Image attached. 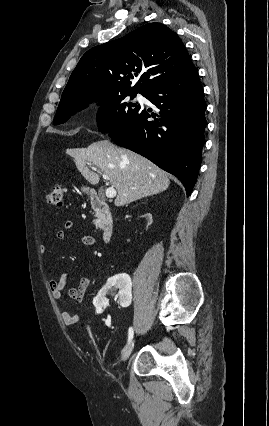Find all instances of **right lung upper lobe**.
I'll return each instance as SVG.
<instances>
[{
  "instance_id": "right-lung-upper-lobe-1",
  "label": "right lung upper lobe",
  "mask_w": 269,
  "mask_h": 426,
  "mask_svg": "<svg viewBox=\"0 0 269 426\" xmlns=\"http://www.w3.org/2000/svg\"><path fill=\"white\" fill-rule=\"evenodd\" d=\"M193 67L178 35L161 23L93 47L78 62L62 98L145 93ZM141 75L136 84L134 77Z\"/></svg>"
}]
</instances>
